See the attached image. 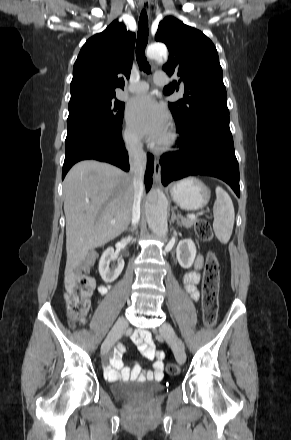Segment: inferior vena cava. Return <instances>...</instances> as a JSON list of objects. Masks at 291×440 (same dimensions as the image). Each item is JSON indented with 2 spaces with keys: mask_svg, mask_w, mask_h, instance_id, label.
Masks as SVG:
<instances>
[{
  "mask_svg": "<svg viewBox=\"0 0 291 440\" xmlns=\"http://www.w3.org/2000/svg\"><path fill=\"white\" fill-rule=\"evenodd\" d=\"M130 174L134 185V203L132 208V225L136 226L140 219V203L144 191V174L146 168V155L138 138L132 139L128 144Z\"/></svg>",
  "mask_w": 291,
  "mask_h": 440,
  "instance_id": "602c4592",
  "label": "inferior vena cava"
}]
</instances>
